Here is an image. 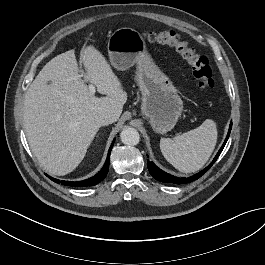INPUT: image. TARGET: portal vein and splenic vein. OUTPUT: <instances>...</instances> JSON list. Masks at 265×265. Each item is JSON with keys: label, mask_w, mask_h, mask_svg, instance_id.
Masks as SVG:
<instances>
[{"label": "portal vein and splenic vein", "mask_w": 265, "mask_h": 265, "mask_svg": "<svg viewBox=\"0 0 265 265\" xmlns=\"http://www.w3.org/2000/svg\"><path fill=\"white\" fill-rule=\"evenodd\" d=\"M89 91H90V93L92 95H94L95 94V91H96L95 86L93 84H91V83L89 84Z\"/></svg>", "instance_id": "obj_1"}]
</instances>
